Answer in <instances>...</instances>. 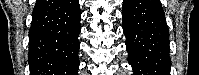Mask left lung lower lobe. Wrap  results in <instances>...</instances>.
Wrapping results in <instances>:
<instances>
[{
    "mask_svg": "<svg viewBox=\"0 0 199 75\" xmlns=\"http://www.w3.org/2000/svg\"><path fill=\"white\" fill-rule=\"evenodd\" d=\"M123 32L134 75H169V29L159 0H123Z\"/></svg>",
    "mask_w": 199,
    "mask_h": 75,
    "instance_id": "obj_1",
    "label": "left lung lower lobe"
}]
</instances>
